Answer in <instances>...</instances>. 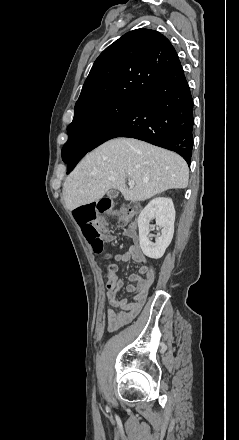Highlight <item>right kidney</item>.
Segmentation results:
<instances>
[{"instance_id": "obj_1", "label": "right kidney", "mask_w": 239, "mask_h": 440, "mask_svg": "<svg viewBox=\"0 0 239 440\" xmlns=\"http://www.w3.org/2000/svg\"><path fill=\"white\" fill-rule=\"evenodd\" d=\"M156 218V226L162 228L161 236H156V244L149 238L151 220ZM175 210L171 198H154L138 218L139 238L144 257H153L154 260L160 259V253L165 252V248L171 247V240L174 234Z\"/></svg>"}]
</instances>
